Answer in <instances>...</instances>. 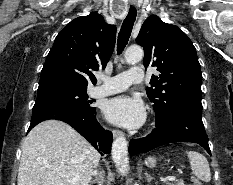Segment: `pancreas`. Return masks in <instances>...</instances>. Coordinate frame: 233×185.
I'll list each match as a JSON object with an SVG mask.
<instances>
[{
  "mask_svg": "<svg viewBox=\"0 0 233 185\" xmlns=\"http://www.w3.org/2000/svg\"><path fill=\"white\" fill-rule=\"evenodd\" d=\"M169 185H185L183 180H176L175 184H169Z\"/></svg>",
  "mask_w": 233,
  "mask_h": 185,
  "instance_id": "obj_1",
  "label": "pancreas"
}]
</instances>
